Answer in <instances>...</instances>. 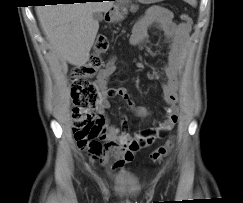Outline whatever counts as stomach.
Here are the masks:
<instances>
[{"instance_id":"0dacf381","label":"stomach","mask_w":243,"mask_h":203,"mask_svg":"<svg viewBox=\"0 0 243 203\" xmlns=\"http://www.w3.org/2000/svg\"><path fill=\"white\" fill-rule=\"evenodd\" d=\"M142 4H153L162 2L163 0H138ZM130 4V0H117V5L113 11H110L108 18L110 22H117L123 19L126 14V7Z\"/></svg>"}]
</instances>
